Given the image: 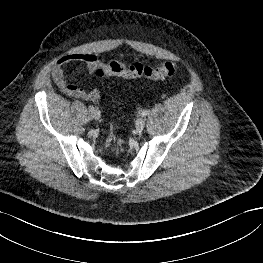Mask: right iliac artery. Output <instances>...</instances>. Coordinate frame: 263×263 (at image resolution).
Here are the masks:
<instances>
[{"label": "right iliac artery", "mask_w": 263, "mask_h": 263, "mask_svg": "<svg viewBox=\"0 0 263 263\" xmlns=\"http://www.w3.org/2000/svg\"><path fill=\"white\" fill-rule=\"evenodd\" d=\"M89 110L92 112L94 111V107L93 106H89Z\"/></svg>", "instance_id": "1"}]
</instances>
